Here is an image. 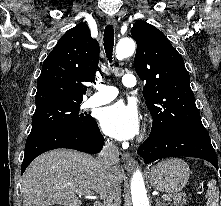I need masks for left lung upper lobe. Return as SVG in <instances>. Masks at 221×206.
I'll use <instances>...</instances> for the list:
<instances>
[{"label": "left lung upper lobe", "mask_w": 221, "mask_h": 206, "mask_svg": "<svg viewBox=\"0 0 221 206\" xmlns=\"http://www.w3.org/2000/svg\"><path fill=\"white\" fill-rule=\"evenodd\" d=\"M131 34L137 43L135 70L146 81L143 96L153 118L150 135L205 129L182 56L145 21H137Z\"/></svg>", "instance_id": "1"}]
</instances>
